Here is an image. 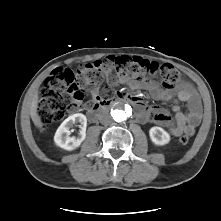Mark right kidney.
I'll list each match as a JSON object with an SVG mask.
<instances>
[{"label":"right kidney","instance_id":"obj_1","mask_svg":"<svg viewBox=\"0 0 221 221\" xmlns=\"http://www.w3.org/2000/svg\"><path fill=\"white\" fill-rule=\"evenodd\" d=\"M80 123V132L79 135L70 136V129L73 127L74 124ZM86 126H87V119L86 116L77 113L69 116L65 119L62 124L58 127L55 136L54 142L57 146L65 149V150H73L81 145V143L85 140L86 137Z\"/></svg>","mask_w":221,"mask_h":221}]
</instances>
